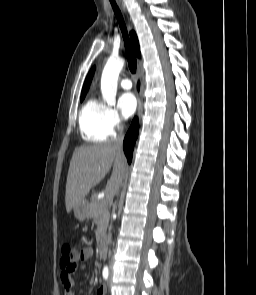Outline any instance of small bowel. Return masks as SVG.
Here are the masks:
<instances>
[{"label":"small bowel","instance_id":"obj_1","mask_svg":"<svg viewBox=\"0 0 256 295\" xmlns=\"http://www.w3.org/2000/svg\"><path fill=\"white\" fill-rule=\"evenodd\" d=\"M93 255H94V251L91 247L83 248L81 252L79 253V264L76 269L85 268L86 263L93 257ZM73 271L64 269L60 273L61 282L64 287V295H74L72 290L73 280L71 276ZM106 293H107V288L104 285H99L97 287L96 295H106Z\"/></svg>","mask_w":256,"mask_h":295}]
</instances>
